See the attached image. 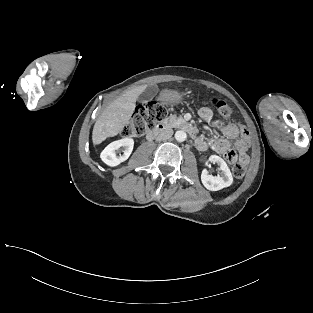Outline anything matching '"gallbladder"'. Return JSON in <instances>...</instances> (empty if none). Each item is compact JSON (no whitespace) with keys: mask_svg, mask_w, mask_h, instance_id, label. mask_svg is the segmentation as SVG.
<instances>
[{"mask_svg":"<svg viewBox=\"0 0 313 313\" xmlns=\"http://www.w3.org/2000/svg\"><path fill=\"white\" fill-rule=\"evenodd\" d=\"M157 92V87L156 86H149L144 93V101L149 100L150 98H152Z\"/></svg>","mask_w":313,"mask_h":313,"instance_id":"obj_1","label":"gallbladder"}]
</instances>
